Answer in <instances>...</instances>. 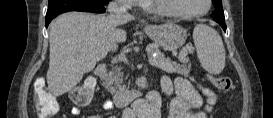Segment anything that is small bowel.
Instances as JSON below:
<instances>
[{
	"mask_svg": "<svg viewBox=\"0 0 273 118\" xmlns=\"http://www.w3.org/2000/svg\"><path fill=\"white\" fill-rule=\"evenodd\" d=\"M161 89L165 96L171 97L168 118H204L210 112L216 102L215 94L207 89L196 87L191 81L184 77H176L171 80L167 76L160 79ZM203 106V110L195 111ZM109 106L106 105L105 109ZM72 115L79 116L82 111L74 107L71 110ZM138 113L147 118H161V100L159 96L154 95L149 99V105H140Z\"/></svg>",
	"mask_w": 273,
	"mask_h": 118,
	"instance_id": "small-bowel-1",
	"label": "small bowel"
}]
</instances>
